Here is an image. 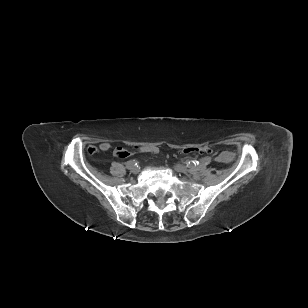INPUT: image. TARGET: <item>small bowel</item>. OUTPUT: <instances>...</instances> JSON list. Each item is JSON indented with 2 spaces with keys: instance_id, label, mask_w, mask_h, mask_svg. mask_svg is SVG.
<instances>
[{
  "instance_id": "c3829d8e",
  "label": "small bowel",
  "mask_w": 308,
  "mask_h": 308,
  "mask_svg": "<svg viewBox=\"0 0 308 308\" xmlns=\"http://www.w3.org/2000/svg\"><path fill=\"white\" fill-rule=\"evenodd\" d=\"M110 148V145L106 142H103L99 145V149L102 150V151H107L108 149ZM91 149H94L95 151H91ZM89 152L90 153H94L96 152V149L95 148H89ZM229 158V153L228 152H223L221 153L218 157H217V160L220 161V162H224L226 161L227 159Z\"/></svg>"
}]
</instances>
